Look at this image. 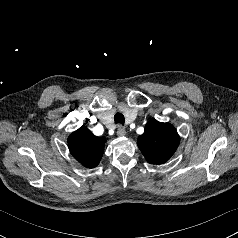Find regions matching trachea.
Masks as SVG:
<instances>
[{"label": "trachea", "mask_w": 238, "mask_h": 238, "mask_svg": "<svg viewBox=\"0 0 238 238\" xmlns=\"http://www.w3.org/2000/svg\"><path fill=\"white\" fill-rule=\"evenodd\" d=\"M114 122L124 125V122H125L124 115L121 113H116L114 116Z\"/></svg>", "instance_id": "1"}]
</instances>
